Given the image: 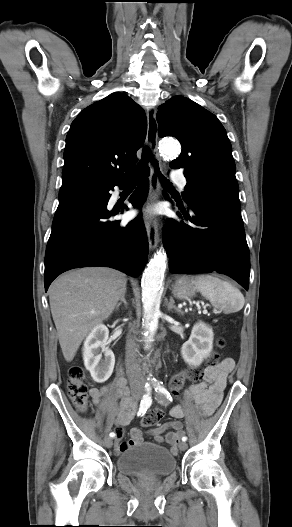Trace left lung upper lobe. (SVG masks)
Listing matches in <instances>:
<instances>
[{
  "mask_svg": "<svg viewBox=\"0 0 292 527\" xmlns=\"http://www.w3.org/2000/svg\"><path fill=\"white\" fill-rule=\"evenodd\" d=\"M159 136L176 137L182 153L170 163L184 169V199L226 198L239 201L231 143L218 118L194 101L174 96L159 106Z\"/></svg>",
  "mask_w": 292,
  "mask_h": 527,
  "instance_id": "obj_1",
  "label": "left lung upper lobe"
}]
</instances>
